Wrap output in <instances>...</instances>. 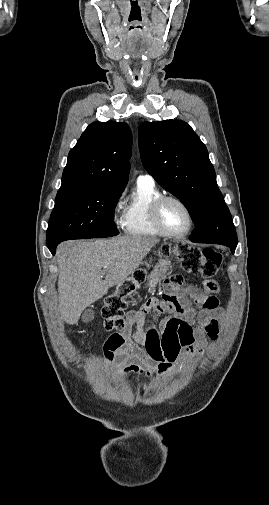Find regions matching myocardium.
<instances>
[{"label": "myocardium", "instance_id": "1", "mask_svg": "<svg viewBox=\"0 0 269 505\" xmlns=\"http://www.w3.org/2000/svg\"><path fill=\"white\" fill-rule=\"evenodd\" d=\"M166 201H174V202L178 203L179 205H181L184 208V210L186 211L189 222H188V227L186 228L185 231H183L181 233H173V232L168 231L164 227V225L161 221L160 212H161L162 205ZM150 216H151V220H152L155 228L161 233V235H163L165 237H170V238L185 237L192 231L193 226H194V216H193L192 210L190 209V207L188 206V204L184 200H182L181 198H179L175 195H160L156 199H154L150 205Z\"/></svg>", "mask_w": 269, "mask_h": 505}]
</instances>
